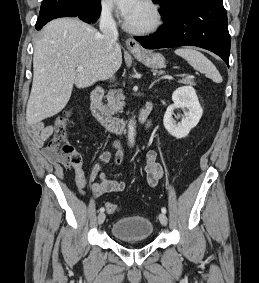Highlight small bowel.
<instances>
[{
    "label": "small bowel",
    "instance_id": "c3829d8e",
    "mask_svg": "<svg viewBox=\"0 0 259 283\" xmlns=\"http://www.w3.org/2000/svg\"><path fill=\"white\" fill-rule=\"evenodd\" d=\"M54 132L53 124L45 125L42 121L31 123L28 127V134L33 141L35 148H42ZM113 146L117 148V153L112 156L104 151L100 154V162L87 174H84L82 163L73 166L76 174V185L82 194L89 190L94 196L100 197L111 192H121L127 188L125 181H117L106 177V170L121 164L124 158L123 150L118 142ZM146 180L149 186L154 187L163 176V168L157 160V153L149 151L146 155L145 163ZM99 182H95L96 179Z\"/></svg>",
    "mask_w": 259,
    "mask_h": 283
}]
</instances>
